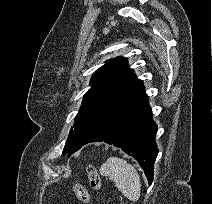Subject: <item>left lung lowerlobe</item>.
I'll use <instances>...</instances> for the list:
<instances>
[{"label": "left lung lower lobe", "instance_id": "obj_1", "mask_svg": "<svg viewBox=\"0 0 212 204\" xmlns=\"http://www.w3.org/2000/svg\"><path fill=\"white\" fill-rule=\"evenodd\" d=\"M157 126L152 120L145 89L141 86L115 108L78 135L68 156L91 142H106L135 158L145 172L149 185L153 181L154 162L158 154L155 143Z\"/></svg>", "mask_w": 212, "mask_h": 204}]
</instances>
